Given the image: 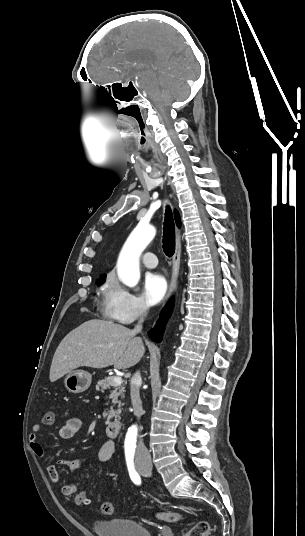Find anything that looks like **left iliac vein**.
Listing matches in <instances>:
<instances>
[{
	"label": "left iliac vein",
	"instance_id": "obj_1",
	"mask_svg": "<svg viewBox=\"0 0 305 536\" xmlns=\"http://www.w3.org/2000/svg\"><path fill=\"white\" fill-rule=\"evenodd\" d=\"M140 473H141L143 476L147 477V476L150 475L151 470H140Z\"/></svg>",
	"mask_w": 305,
	"mask_h": 536
}]
</instances>
